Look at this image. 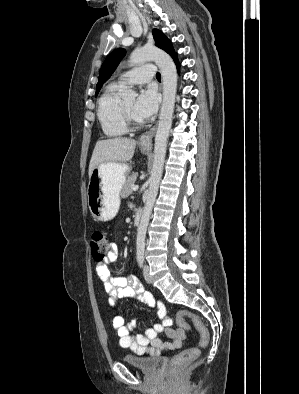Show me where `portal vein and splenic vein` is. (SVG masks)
<instances>
[{"label": "portal vein and splenic vein", "instance_id": "1", "mask_svg": "<svg viewBox=\"0 0 299 394\" xmlns=\"http://www.w3.org/2000/svg\"><path fill=\"white\" fill-rule=\"evenodd\" d=\"M138 188H139V186H138V185H134V186L132 187V191H137V190H138Z\"/></svg>", "mask_w": 299, "mask_h": 394}]
</instances>
